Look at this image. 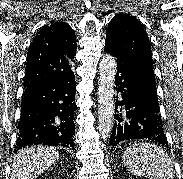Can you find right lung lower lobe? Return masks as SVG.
<instances>
[{
	"label": "right lung lower lobe",
	"instance_id": "obj_1",
	"mask_svg": "<svg viewBox=\"0 0 183 179\" xmlns=\"http://www.w3.org/2000/svg\"><path fill=\"white\" fill-rule=\"evenodd\" d=\"M75 78L67 81L40 79L26 86L21 103L15 152L44 144L74 150Z\"/></svg>",
	"mask_w": 183,
	"mask_h": 179
}]
</instances>
